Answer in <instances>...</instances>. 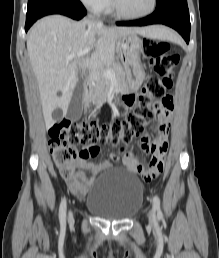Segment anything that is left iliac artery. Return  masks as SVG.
<instances>
[{
    "instance_id": "left-iliac-artery-1",
    "label": "left iliac artery",
    "mask_w": 219,
    "mask_h": 258,
    "mask_svg": "<svg viewBox=\"0 0 219 258\" xmlns=\"http://www.w3.org/2000/svg\"><path fill=\"white\" fill-rule=\"evenodd\" d=\"M153 210L157 212L158 217H162L163 214L160 209V199L157 195L153 197Z\"/></svg>"
}]
</instances>
